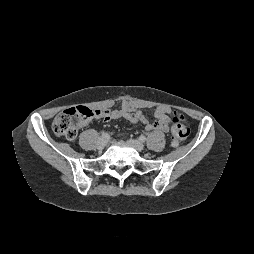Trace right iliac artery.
<instances>
[{"label":"right iliac artery","mask_w":254,"mask_h":254,"mask_svg":"<svg viewBox=\"0 0 254 254\" xmlns=\"http://www.w3.org/2000/svg\"><path fill=\"white\" fill-rule=\"evenodd\" d=\"M102 138H105V139H107V138H109V134L108 133H102Z\"/></svg>","instance_id":"1"}]
</instances>
